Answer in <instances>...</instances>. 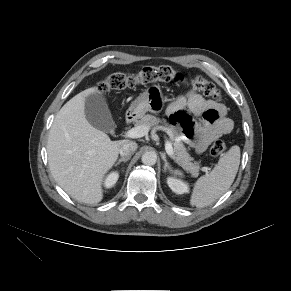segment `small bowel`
Returning a JSON list of instances; mask_svg holds the SVG:
<instances>
[{
  "label": "small bowel",
  "instance_id": "c3829d8e",
  "mask_svg": "<svg viewBox=\"0 0 291 291\" xmlns=\"http://www.w3.org/2000/svg\"><path fill=\"white\" fill-rule=\"evenodd\" d=\"M167 113L170 121L181 127L186 143L198 153L204 152L214 140L229 134L233 128L223 104L194 91L179 96L169 105ZM190 113L201 120H194Z\"/></svg>",
  "mask_w": 291,
  "mask_h": 291
}]
</instances>
